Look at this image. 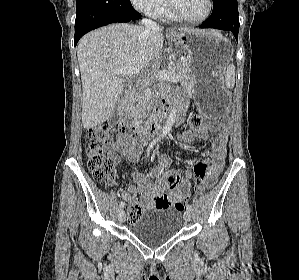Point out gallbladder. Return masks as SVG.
I'll list each match as a JSON object with an SVG mask.
<instances>
[{
	"label": "gallbladder",
	"mask_w": 299,
	"mask_h": 280,
	"mask_svg": "<svg viewBox=\"0 0 299 280\" xmlns=\"http://www.w3.org/2000/svg\"><path fill=\"white\" fill-rule=\"evenodd\" d=\"M123 97H124V93H122L121 96L119 97V99H118V103L121 102V100L123 99Z\"/></svg>",
	"instance_id": "1"
}]
</instances>
